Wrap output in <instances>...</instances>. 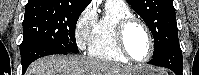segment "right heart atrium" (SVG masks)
I'll return each mask as SVG.
<instances>
[{
	"mask_svg": "<svg viewBox=\"0 0 199 75\" xmlns=\"http://www.w3.org/2000/svg\"><path fill=\"white\" fill-rule=\"evenodd\" d=\"M97 14L92 7H87L79 16L74 29L77 46L80 50L86 49L97 28Z\"/></svg>",
	"mask_w": 199,
	"mask_h": 75,
	"instance_id": "right-heart-atrium-1",
	"label": "right heart atrium"
}]
</instances>
